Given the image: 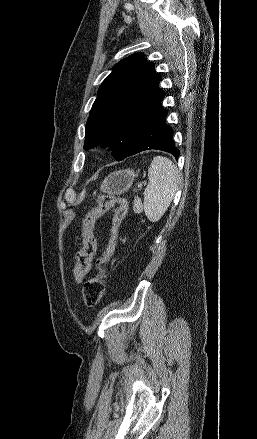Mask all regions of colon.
Here are the masks:
<instances>
[{
	"instance_id": "1",
	"label": "colon",
	"mask_w": 257,
	"mask_h": 439,
	"mask_svg": "<svg viewBox=\"0 0 257 439\" xmlns=\"http://www.w3.org/2000/svg\"><path fill=\"white\" fill-rule=\"evenodd\" d=\"M114 209L111 234L108 245L103 254L97 259V272L88 279L83 287L82 296L89 307L96 306L105 292L106 265L115 251L121 224L128 212V202L125 198L114 195H102L97 199L96 205L84 217L82 224V245L76 255L74 278L81 282L90 270L91 263L96 253V239L94 226L97 220L109 209Z\"/></svg>"
}]
</instances>
